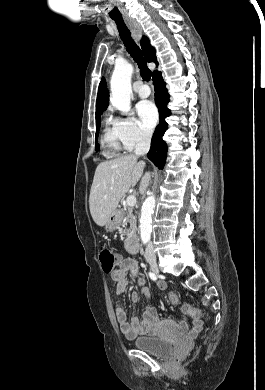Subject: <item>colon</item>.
<instances>
[{
	"mask_svg": "<svg viewBox=\"0 0 265 390\" xmlns=\"http://www.w3.org/2000/svg\"><path fill=\"white\" fill-rule=\"evenodd\" d=\"M99 260L105 273H111L115 270L114 268L117 264L116 255L107 247H101L99 249ZM169 300L173 304H178L180 301L179 296L172 292L169 293ZM181 309L184 314L189 315L194 319L203 318L202 312L188 303H184Z\"/></svg>",
	"mask_w": 265,
	"mask_h": 390,
	"instance_id": "1",
	"label": "colon"
}]
</instances>
